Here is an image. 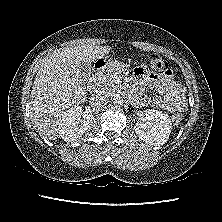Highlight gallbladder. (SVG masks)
<instances>
[{"label":"gallbladder","instance_id":"bac80fb5","mask_svg":"<svg viewBox=\"0 0 222 222\" xmlns=\"http://www.w3.org/2000/svg\"><path fill=\"white\" fill-rule=\"evenodd\" d=\"M90 73H91V66L90 63L88 62H84L82 63V76L85 79V82L88 80V78L90 77Z\"/></svg>","mask_w":222,"mask_h":222}]
</instances>
